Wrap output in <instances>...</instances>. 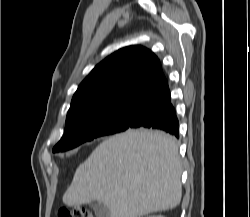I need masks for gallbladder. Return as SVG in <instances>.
I'll return each mask as SVG.
<instances>
[{
    "mask_svg": "<svg viewBox=\"0 0 250 217\" xmlns=\"http://www.w3.org/2000/svg\"><path fill=\"white\" fill-rule=\"evenodd\" d=\"M91 208L94 210L96 217H110L109 208L101 202H92Z\"/></svg>",
    "mask_w": 250,
    "mask_h": 217,
    "instance_id": "bac80fb5",
    "label": "gallbladder"
}]
</instances>
